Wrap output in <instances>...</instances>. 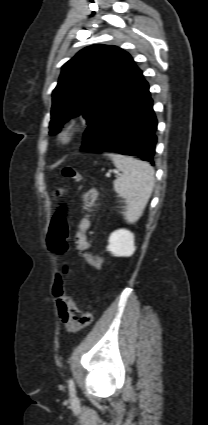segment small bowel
I'll return each mask as SVG.
<instances>
[{
	"instance_id": "small-bowel-1",
	"label": "small bowel",
	"mask_w": 208,
	"mask_h": 425,
	"mask_svg": "<svg viewBox=\"0 0 208 425\" xmlns=\"http://www.w3.org/2000/svg\"><path fill=\"white\" fill-rule=\"evenodd\" d=\"M85 203L88 206L93 205L97 198H98V193L95 189H89L83 196ZM90 227V221L88 219H84L80 226H79V233H78V237L76 240V245L78 248H82V249H89L91 247L85 232L87 231V229ZM56 304H57V310H58V315L60 318V321L66 326V328L70 331H75L77 329H79L80 327L78 325H76L72 319L69 317V314L67 312V305L65 303L64 300L62 299H56Z\"/></svg>"
}]
</instances>
